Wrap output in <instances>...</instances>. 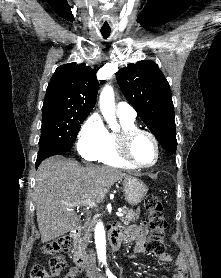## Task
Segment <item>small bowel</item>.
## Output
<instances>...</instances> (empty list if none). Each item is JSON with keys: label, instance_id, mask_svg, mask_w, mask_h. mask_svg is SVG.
I'll use <instances>...</instances> for the list:
<instances>
[{"label": "small bowel", "instance_id": "1", "mask_svg": "<svg viewBox=\"0 0 221 278\" xmlns=\"http://www.w3.org/2000/svg\"><path fill=\"white\" fill-rule=\"evenodd\" d=\"M126 230V235L129 239L135 241L134 252L136 254L146 253V231L147 226L145 223L139 225H133L128 227ZM159 260L164 264H169L172 261V257L167 252H163L158 255ZM81 270L77 267L71 268L63 278H76ZM169 278H187V266L185 258L179 255L176 260V271Z\"/></svg>", "mask_w": 221, "mask_h": 278}]
</instances>
